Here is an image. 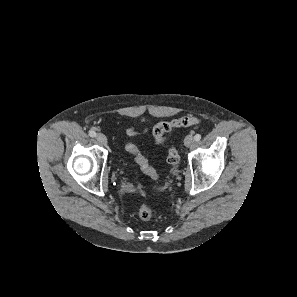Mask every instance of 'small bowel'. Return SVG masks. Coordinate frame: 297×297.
<instances>
[{"mask_svg":"<svg viewBox=\"0 0 297 297\" xmlns=\"http://www.w3.org/2000/svg\"><path fill=\"white\" fill-rule=\"evenodd\" d=\"M126 133L128 134V135H135V130H134V128L133 127H128L127 129H126Z\"/></svg>","mask_w":297,"mask_h":297,"instance_id":"1","label":"small bowel"}]
</instances>
